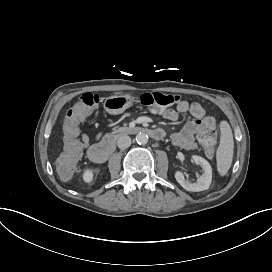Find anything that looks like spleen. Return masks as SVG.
Here are the masks:
<instances>
[{
    "instance_id": "1",
    "label": "spleen",
    "mask_w": 272,
    "mask_h": 272,
    "mask_svg": "<svg viewBox=\"0 0 272 272\" xmlns=\"http://www.w3.org/2000/svg\"><path fill=\"white\" fill-rule=\"evenodd\" d=\"M221 143L217 151V163L220 174L225 175L230 168L233 156V136L227 122H222L221 126Z\"/></svg>"
}]
</instances>
